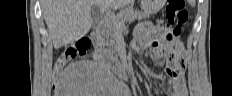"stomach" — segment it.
Returning a JSON list of instances; mask_svg holds the SVG:
<instances>
[{
    "label": "stomach",
    "mask_w": 232,
    "mask_h": 96,
    "mask_svg": "<svg viewBox=\"0 0 232 96\" xmlns=\"http://www.w3.org/2000/svg\"><path fill=\"white\" fill-rule=\"evenodd\" d=\"M166 0H142L144 12L147 14L157 13L165 4Z\"/></svg>",
    "instance_id": "stomach-1"
}]
</instances>
